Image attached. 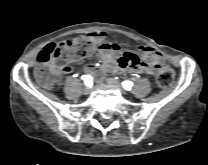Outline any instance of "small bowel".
<instances>
[{
    "instance_id": "c3829d8e",
    "label": "small bowel",
    "mask_w": 208,
    "mask_h": 165,
    "mask_svg": "<svg viewBox=\"0 0 208 165\" xmlns=\"http://www.w3.org/2000/svg\"><path fill=\"white\" fill-rule=\"evenodd\" d=\"M106 36L107 33L103 30L93 31L89 34V37H91L96 44L95 50L99 53L103 63L100 68H97L94 64H87L85 68L88 72L101 75L102 73L119 69L126 72L148 75H155L157 73L160 55L155 49L142 46L139 50L140 55L132 52H125L117 58L121 47L116 43L105 42ZM126 53H131L132 57L125 60L124 57ZM141 58H143V60H141ZM63 71L64 73H70L72 68Z\"/></svg>"
}]
</instances>
